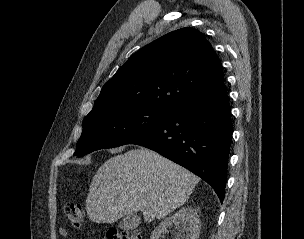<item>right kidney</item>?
<instances>
[{"label":"right kidney","instance_id":"ca27d5eb","mask_svg":"<svg viewBox=\"0 0 304 239\" xmlns=\"http://www.w3.org/2000/svg\"><path fill=\"white\" fill-rule=\"evenodd\" d=\"M177 225L172 235L173 239H198L201 230V222L195 209L187 206L164 219L152 232L150 239H159L161 234L171 227ZM186 233V234H185Z\"/></svg>","mask_w":304,"mask_h":239}]
</instances>
